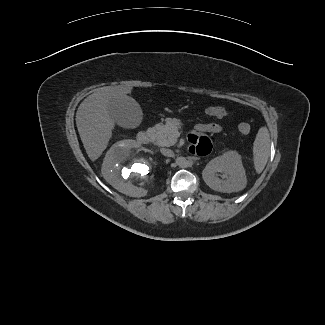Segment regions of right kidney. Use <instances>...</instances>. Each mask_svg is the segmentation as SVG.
<instances>
[{"mask_svg":"<svg viewBox=\"0 0 325 325\" xmlns=\"http://www.w3.org/2000/svg\"><path fill=\"white\" fill-rule=\"evenodd\" d=\"M139 148L135 140L117 142L107 152L101 169L110 185L132 197L145 196L155 182L152 164L138 152ZM126 161L127 165L123 166Z\"/></svg>","mask_w":325,"mask_h":325,"instance_id":"1","label":"right kidney"}]
</instances>
